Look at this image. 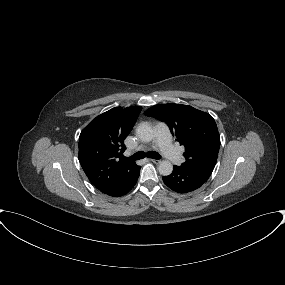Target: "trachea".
Returning a JSON list of instances; mask_svg holds the SVG:
<instances>
[{"label": "trachea", "instance_id": "trachea-1", "mask_svg": "<svg viewBox=\"0 0 285 285\" xmlns=\"http://www.w3.org/2000/svg\"><path fill=\"white\" fill-rule=\"evenodd\" d=\"M145 157L152 158V159H160L161 155L155 151H150L148 153H144V152L140 151V152L135 153L134 155H132L129 158H124V160L125 161H136V160L143 159Z\"/></svg>", "mask_w": 285, "mask_h": 285}]
</instances>
